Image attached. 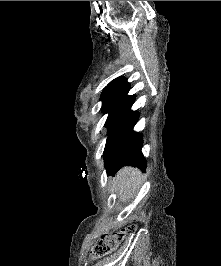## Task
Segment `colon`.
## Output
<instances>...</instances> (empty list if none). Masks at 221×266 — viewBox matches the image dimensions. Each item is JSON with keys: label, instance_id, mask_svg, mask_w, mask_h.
<instances>
[{"label": "colon", "instance_id": "colon-1", "mask_svg": "<svg viewBox=\"0 0 221 266\" xmlns=\"http://www.w3.org/2000/svg\"><path fill=\"white\" fill-rule=\"evenodd\" d=\"M135 229V226H127L118 231L103 234L93 247V255L95 257H101L109 254L128 234L134 232Z\"/></svg>", "mask_w": 221, "mask_h": 266}]
</instances>
